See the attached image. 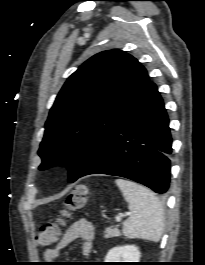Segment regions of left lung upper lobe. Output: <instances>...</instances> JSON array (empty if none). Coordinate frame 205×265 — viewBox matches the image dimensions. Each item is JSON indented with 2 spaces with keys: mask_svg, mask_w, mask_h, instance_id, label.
Here are the masks:
<instances>
[{
  "mask_svg": "<svg viewBox=\"0 0 205 265\" xmlns=\"http://www.w3.org/2000/svg\"><path fill=\"white\" fill-rule=\"evenodd\" d=\"M148 83L146 69L126 52L108 50L88 59L67 79L50 110L39 169L66 165L69 182L75 181Z\"/></svg>",
  "mask_w": 205,
  "mask_h": 265,
  "instance_id": "left-lung-upper-lobe-1",
  "label": "left lung upper lobe"
}]
</instances>
